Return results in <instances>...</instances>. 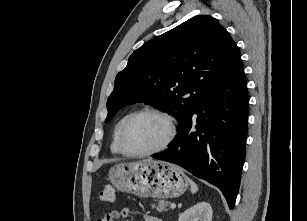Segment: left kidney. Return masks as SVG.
<instances>
[{
	"instance_id": "1",
	"label": "left kidney",
	"mask_w": 307,
	"mask_h": 221,
	"mask_svg": "<svg viewBox=\"0 0 307 221\" xmlns=\"http://www.w3.org/2000/svg\"><path fill=\"white\" fill-rule=\"evenodd\" d=\"M212 208L207 202H199L180 214L178 221H211Z\"/></svg>"
}]
</instances>
